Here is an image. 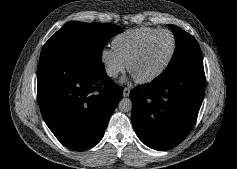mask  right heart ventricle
<instances>
[{"label":"right heart ventricle","instance_id":"right-heart-ventricle-1","mask_svg":"<svg viewBox=\"0 0 237 169\" xmlns=\"http://www.w3.org/2000/svg\"><path fill=\"white\" fill-rule=\"evenodd\" d=\"M158 29L150 27H141L131 29L117 35L112 42V48L115 52L127 62L138 47Z\"/></svg>","mask_w":237,"mask_h":169}]
</instances>
